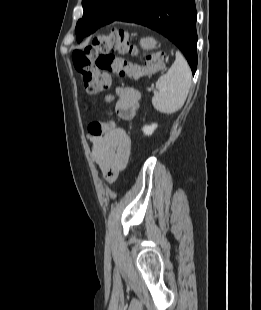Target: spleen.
Segmentation results:
<instances>
[{
    "label": "spleen",
    "instance_id": "1",
    "mask_svg": "<svg viewBox=\"0 0 261 310\" xmlns=\"http://www.w3.org/2000/svg\"><path fill=\"white\" fill-rule=\"evenodd\" d=\"M191 69L180 52L168 72L156 82L157 92L152 97L153 107L165 114H172L182 108L191 86Z\"/></svg>",
    "mask_w": 261,
    "mask_h": 310
}]
</instances>
